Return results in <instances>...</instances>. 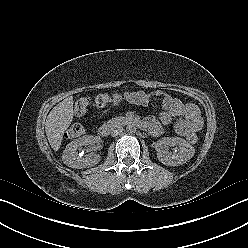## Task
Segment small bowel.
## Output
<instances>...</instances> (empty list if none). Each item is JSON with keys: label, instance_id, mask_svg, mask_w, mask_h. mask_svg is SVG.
I'll use <instances>...</instances> for the list:
<instances>
[{"label": "small bowel", "instance_id": "obj_1", "mask_svg": "<svg viewBox=\"0 0 248 248\" xmlns=\"http://www.w3.org/2000/svg\"><path fill=\"white\" fill-rule=\"evenodd\" d=\"M113 96L115 97L112 101L114 106L119 105L122 101L147 106L152 98H160L162 103V110L158 114L160 122L163 125H169L175 117H178L174 124L175 132L186 139L198 132L203 125L199 108L196 105L183 103L161 90L124 92L122 94L116 93ZM148 124V130L152 135L158 136L162 133L163 129L160 124L154 121H150Z\"/></svg>", "mask_w": 248, "mask_h": 248}]
</instances>
